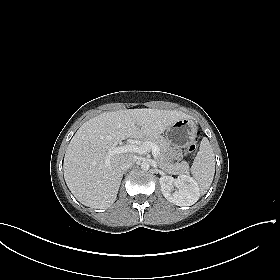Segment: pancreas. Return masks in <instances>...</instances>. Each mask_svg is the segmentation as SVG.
Wrapping results in <instances>:
<instances>
[{
    "label": "pancreas",
    "mask_w": 280,
    "mask_h": 280,
    "mask_svg": "<svg viewBox=\"0 0 280 280\" xmlns=\"http://www.w3.org/2000/svg\"><path fill=\"white\" fill-rule=\"evenodd\" d=\"M146 141H151L158 145L160 152L157 156V163L160 168L164 171L171 173V174H187L189 173V165L187 162L175 163L172 164L168 162L167 158L165 157V153L169 148V143L161 136L156 137H144L142 139V143Z\"/></svg>",
    "instance_id": "cf45deb5"
}]
</instances>
